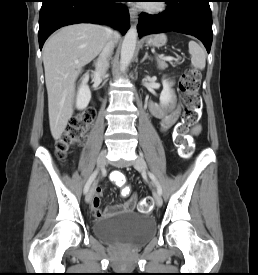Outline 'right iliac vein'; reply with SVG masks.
I'll return each instance as SVG.
<instances>
[{
	"label": "right iliac vein",
	"mask_w": 258,
	"mask_h": 275,
	"mask_svg": "<svg viewBox=\"0 0 258 275\" xmlns=\"http://www.w3.org/2000/svg\"><path fill=\"white\" fill-rule=\"evenodd\" d=\"M106 155H107V152L106 150H103L99 156H98V159H97V168L100 170L103 168V166L105 165V162H106ZM93 188H94V185L92 186V188L87 192L86 194V197H85V201L87 203H89L91 201V198H92V195H93Z\"/></svg>",
	"instance_id": "right-iliac-vein-1"
}]
</instances>
